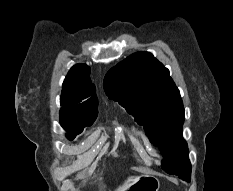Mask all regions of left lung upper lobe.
I'll return each instance as SVG.
<instances>
[{"label": "left lung upper lobe", "mask_w": 233, "mask_h": 191, "mask_svg": "<svg viewBox=\"0 0 233 191\" xmlns=\"http://www.w3.org/2000/svg\"><path fill=\"white\" fill-rule=\"evenodd\" d=\"M104 90L143 126L160 147L168 174H191L188 147L182 136L184 108L169 70L151 53L136 52L108 71Z\"/></svg>", "instance_id": "left-lung-upper-lobe-1"}]
</instances>
